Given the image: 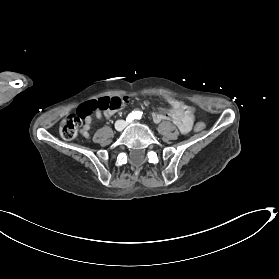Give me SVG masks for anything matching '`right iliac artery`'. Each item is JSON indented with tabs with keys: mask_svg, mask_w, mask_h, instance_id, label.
Returning a JSON list of instances; mask_svg holds the SVG:
<instances>
[{
	"mask_svg": "<svg viewBox=\"0 0 279 279\" xmlns=\"http://www.w3.org/2000/svg\"><path fill=\"white\" fill-rule=\"evenodd\" d=\"M134 116H135L134 112L131 113V114H129V115L127 116V118H126V121H127V122H132V121L134 120V118H135Z\"/></svg>",
	"mask_w": 279,
	"mask_h": 279,
	"instance_id": "1",
	"label": "right iliac artery"
}]
</instances>
